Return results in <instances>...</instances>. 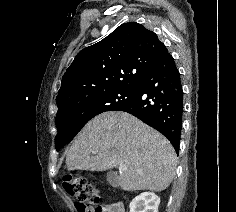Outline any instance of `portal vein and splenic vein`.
Instances as JSON below:
<instances>
[{"label": "portal vein and splenic vein", "mask_w": 236, "mask_h": 212, "mask_svg": "<svg viewBox=\"0 0 236 212\" xmlns=\"http://www.w3.org/2000/svg\"><path fill=\"white\" fill-rule=\"evenodd\" d=\"M92 153L93 154H96L97 152L96 151H92ZM127 169V167L124 165V164H121V165H119V171L121 172V171H124V170H126Z\"/></svg>", "instance_id": "obj_1"}]
</instances>
